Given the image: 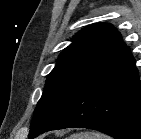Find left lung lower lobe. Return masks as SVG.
I'll list each match as a JSON object with an SVG mask.
<instances>
[{"label": "left lung lower lobe", "mask_w": 141, "mask_h": 139, "mask_svg": "<svg viewBox=\"0 0 141 139\" xmlns=\"http://www.w3.org/2000/svg\"><path fill=\"white\" fill-rule=\"evenodd\" d=\"M72 127L141 139V84L128 47L82 82L34 137Z\"/></svg>", "instance_id": "1"}]
</instances>
